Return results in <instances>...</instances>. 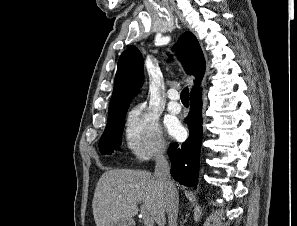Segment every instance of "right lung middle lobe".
Returning a JSON list of instances; mask_svg holds the SVG:
<instances>
[{
  "label": "right lung middle lobe",
  "mask_w": 297,
  "mask_h": 226,
  "mask_svg": "<svg viewBox=\"0 0 297 226\" xmlns=\"http://www.w3.org/2000/svg\"><path fill=\"white\" fill-rule=\"evenodd\" d=\"M128 107L109 109L108 122L99 142V149L102 154H111L114 150L119 149L124 129V118Z\"/></svg>",
  "instance_id": "dd1d6c3e"
}]
</instances>
